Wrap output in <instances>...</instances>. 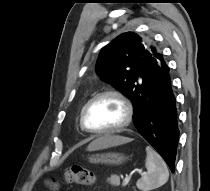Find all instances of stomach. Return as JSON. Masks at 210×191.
Listing matches in <instances>:
<instances>
[{"mask_svg":"<svg viewBox=\"0 0 210 191\" xmlns=\"http://www.w3.org/2000/svg\"><path fill=\"white\" fill-rule=\"evenodd\" d=\"M127 160L123 154L108 152L102 154H95L89 158V162L94 164H106V165H120Z\"/></svg>","mask_w":210,"mask_h":191,"instance_id":"1","label":"stomach"}]
</instances>
